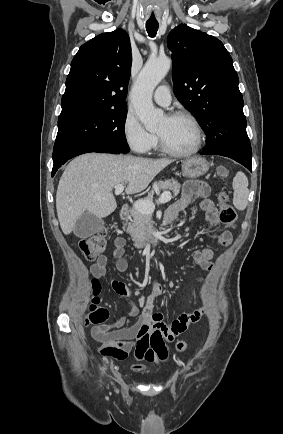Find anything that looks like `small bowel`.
Instances as JSON below:
<instances>
[{
    "label": "small bowel",
    "mask_w": 283,
    "mask_h": 434,
    "mask_svg": "<svg viewBox=\"0 0 283 434\" xmlns=\"http://www.w3.org/2000/svg\"><path fill=\"white\" fill-rule=\"evenodd\" d=\"M195 199L200 200V207L206 214L209 222L208 229L213 239L223 247L230 245L232 234L228 229L220 226L217 208L209 199V187L204 182L186 183L178 201L167 210L165 221L172 222ZM125 244L126 241L121 236L114 240L113 256L116 258V269L119 272H125L128 268V262L124 258ZM212 257L213 250L210 247H204L193 254V260L206 271H210L213 267ZM90 273L94 278L107 276V257L99 256L90 267ZM109 283L117 294L124 297L130 295V289L123 282L109 278ZM162 291L160 284L155 283L152 286L141 313L136 305H132L128 316L138 315V319L132 325L125 326L128 317H122L110 325L92 327L91 335L96 341L102 343L100 353L103 356L125 360L130 353H133L137 361L164 363L167 360L168 350L165 343L173 341L190 324L198 322L204 315V308L181 314L168 325L163 321L161 313L153 312V302L161 296Z\"/></svg>",
    "instance_id": "obj_1"
}]
</instances>
